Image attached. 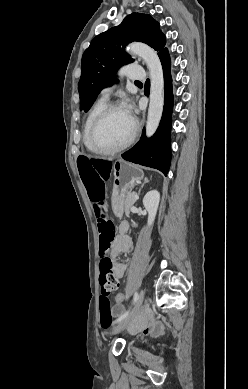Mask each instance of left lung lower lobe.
<instances>
[{"label": "left lung lower lobe", "mask_w": 248, "mask_h": 389, "mask_svg": "<svg viewBox=\"0 0 248 389\" xmlns=\"http://www.w3.org/2000/svg\"><path fill=\"white\" fill-rule=\"evenodd\" d=\"M164 72V110L160 125L153 137L147 139L145 130L139 142L129 151L122 155V158L143 166L155 168L167 176L171 162V123L173 110V91L171 78V61L168 49L165 48L158 53ZM150 80L145 83V95H149Z\"/></svg>", "instance_id": "left-lung-lower-lobe-1"}]
</instances>
